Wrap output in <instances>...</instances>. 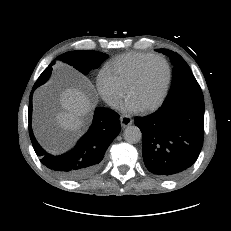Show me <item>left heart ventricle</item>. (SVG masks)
Instances as JSON below:
<instances>
[{"label":"left heart ventricle","instance_id":"1","mask_svg":"<svg viewBox=\"0 0 231 231\" xmlns=\"http://www.w3.org/2000/svg\"><path fill=\"white\" fill-rule=\"evenodd\" d=\"M166 67L160 60H153L147 64L142 76L129 95L141 108L152 104L159 97L165 80Z\"/></svg>","mask_w":231,"mask_h":231}]
</instances>
